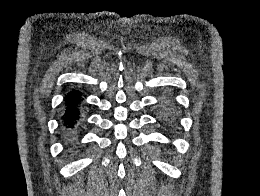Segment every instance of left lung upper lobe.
<instances>
[{
  "label": "left lung upper lobe",
  "instance_id": "left-lung-upper-lobe-1",
  "mask_svg": "<svg viewBox=\"0 0 260 196\" xmlns=\"http://www.w3.org/2000/svg\"><path fill=\"white\" fill-rule=\"evenodd\" d=\"M171 105V102L165 103V108L161 115V119L164 124L173 129L177 126V114L175 112V109Z\"/></svg>",
  "mask_w": 260,
  "mask_h": 196
}]
</instances>
